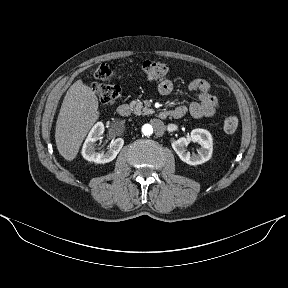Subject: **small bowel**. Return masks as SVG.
Returning a JSON list of instances; mask_svg holds the SVG:
<instances>
[{"label":"small bowel","instance_id":"1","mask_svg":"<svg viewBox=\"0 0 288 288\" xmlns=\"http://www.w3.org/2000/svg\"><path fill=\"white\" fill-rule=\"evenodd\" d=\"M189 89L198 94V101L191 103L188 107L179 105L173 109L181 118L187 112L194 118L211 117L219 108L220 102L216 96L211 94V84L204 79H195L189 84ZM173 90V82L163 79L158 84V91L162 95H168Z\"/></svg>","mask_w":288,"mask_h":288}]
</instances>
